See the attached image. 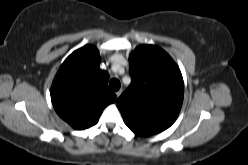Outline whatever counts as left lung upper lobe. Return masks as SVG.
<instances>
[{
  "label": "left lung upper lobe",
  "instance_id": "1",
  "mask_svg": "<svg viewBox=\"0 0 248 165\" xmlns=\"http://www.w3.org/2000/svg\"><path fill=\"white\" fill-rule=\"evenodd\" d=\"M129 64L132 82L116 102L126 125L146 135L166 130L176 120L183 102L179 67L155 45L137 47Z\"/></svg>",
  "mask_w": 248,
  "mask_h": 165
}]
</instances>
